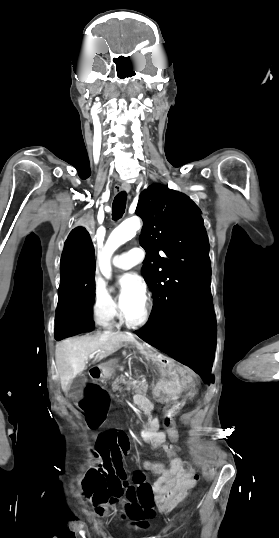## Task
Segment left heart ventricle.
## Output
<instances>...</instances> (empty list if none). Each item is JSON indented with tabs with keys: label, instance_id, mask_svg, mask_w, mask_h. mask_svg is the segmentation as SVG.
<instances>
[{
	"label": "left heart ventricle",
	"instance_id": "obj_1",
	"mask_svg": "<svg viewBox=\"0 0 279 538\" xmlns=\"http://www.w3.org/2000/svg\"><path fill=\"white\" fill-rule=\"evenodd\" d=\"M89 217V216H88ZM144 302L143 301H131L125 306H123L124 314L129 318H137L141 315L143 311Z\"/></svg>",
	"mask_w": 279,
	"mask_h": 538
}]
</instances>
